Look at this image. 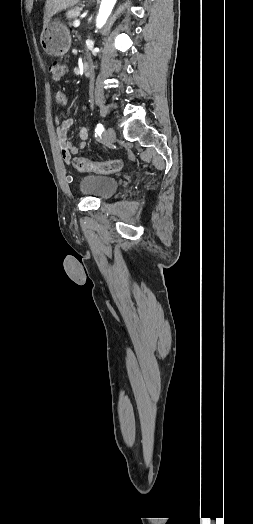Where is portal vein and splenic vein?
I'll return each instance as SVG.
<instances>
[{
	"label": "portal vein and splenic vein",
	"mask_w": 253,
	"mask_h": 524,
	"mask_svg": "<svg viewBox=\"0 0 253 524\" xmlns=\"http://www.w3.org/2000/svg\"><path fill=\"white\" fill-rule=\"evenodd\" d=\"M79 25H80V20H75V21L73 22V26H74V27H78Z\"/></svg>",
	"instance_id": "18ae733b"
}]
</instances>
